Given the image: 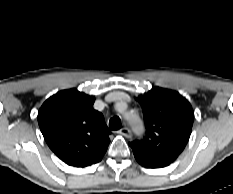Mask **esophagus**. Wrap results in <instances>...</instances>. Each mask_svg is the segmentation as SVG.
I'll list each match as a JSON object with an SVG mask.
<instances>
[{"label": "esophagus", "instance_id": "obj_1", "mask_svg": "<svg viewBox=\"0 0 233 194\" xmlns=\"http://www.w3.org/2000/svg\"><path fill=\"white\" fill-rule=\"evenodd\" d=\"M120 134H122L123 136H125L126 138H131L132 137V133L130 131L129 128L124 127L119 131Z\"/></svg>", "mask_w": 233, "mask_h": 194}]
</instances>
